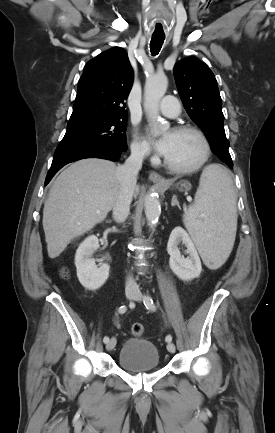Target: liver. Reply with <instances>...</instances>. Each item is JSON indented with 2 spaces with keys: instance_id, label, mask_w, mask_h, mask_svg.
<instances>
[{
  "instance_id": "6515ba94",
  "label": "liver",
  "mask_w": 275,
  "mask_h": 433,
  "mask_svg": "<svg viewBox=\"0 0 275 433\" xmlns=\"http://www.w3.org/2000/svg\"><path fill=\"white\" fill-rule=\"evenodd\" d=\"M117 168L109 160L82 159L56 178L44 204L42 221L51 259L58 257L72 239L107 217L121 187ZM134 194H139L138 185Z\"/></svg>"
}]
</instances>
